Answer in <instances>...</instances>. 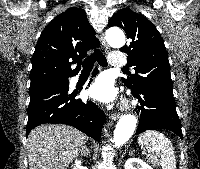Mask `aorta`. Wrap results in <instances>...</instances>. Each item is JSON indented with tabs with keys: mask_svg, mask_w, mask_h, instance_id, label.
<instances>
[{
	"mask_svg": "<svg viewBox=\"0 0 200 169\" xmlns=\"http://www.w3.org/2000/svg\"><path fill=\"white\" fill-rule=\"evenodd\" d=\"M106 41L113 48H121L125 44V35L121 30H108ZM137 126V119L132 114L123 115L114 130L113 142L115 147L125 144L133 135Z\"/></svg>",
	"mask_w": 200,
	"mask_h": 169,
	"instance_id": "762f6f07",
	"label": "aorta"
}]
</instances>
